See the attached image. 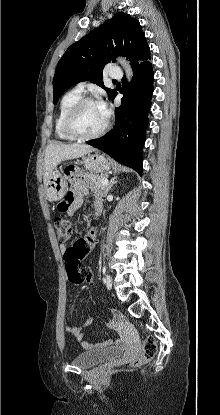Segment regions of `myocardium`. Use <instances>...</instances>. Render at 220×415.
<instances>
[{"label":"myocardium","mask_w":220,"mask_h":415,"mask_svg":"<svg viewBox=\"0 0 220 415\" xmlns=\"http://www.w3.org/2000/svg\"><path fill=\"white\" fill-rule=\"evenodd\" d=\"M89 104H99V101L91 98V97H86V98H81L77 103H75L67 112L65 118H64V122H63V128L65 130V132L72 137L73 139L76 140H92V139H97L99 137H101L108 129L109 127V121L106 119L105 124L103 125V127L96 133L91 134V135H85L80 133L75 126L76 123V119L78 117V115L80 114V112L82 111V109L89 105Z\"/></svg>","instance_id":"myocardium-1"}]
</instances>
